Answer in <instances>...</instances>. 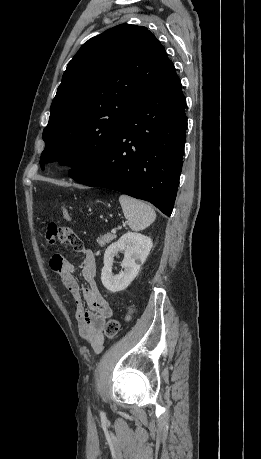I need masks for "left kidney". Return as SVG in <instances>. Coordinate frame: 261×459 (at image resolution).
I'll list each match as a JSON object with an SVG mask.
<instances>
[{
  "instance_id": "5707ae66",
  "label": "left kidney",
  "mask_w": 261,
  "mask_h": 459,
  "mask_svg": "<svg viewBox=\"0 0 261 459\" xmlns=\"http://www.w3.org/2000/svg\"><path fill=\"white\" fill-rule=\"evenodd\" d=\"M152 244L151 238L147 236L127 232L117 242L109 245L104 254V267L101 272L103 286L112 293L126 289L138 275L141 265L150 253ZM119 251H124V260L121 263L124 271L114 276L112 265Z\"/></svg>"
}]
</instances>
